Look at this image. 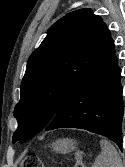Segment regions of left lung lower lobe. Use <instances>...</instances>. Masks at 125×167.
Instances as JSON below:
<instances>
[{"label": "left lung lower lobe", "instance_id": "0a47b994", "mask_svg": "<svg viewBox=\"0 0 125 167\" xmlns=\"http://www.w3.org/2000/svg\"><path fill=\"white\" fill-rule=\"evenodd\" d=\"M123 113L121 69L109 32L90 72L44 130L85 129L107 137L121 148Z\"/></svg>", "mask_w": 125, "mask_h": 167}]
</instances>
